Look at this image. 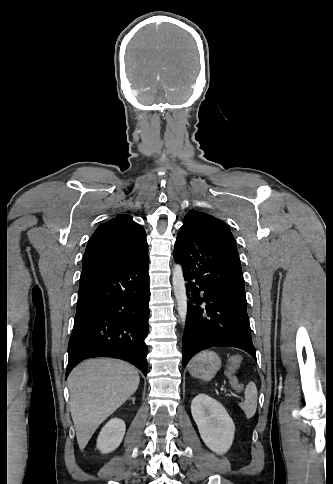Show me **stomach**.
Masks as SVG:
<instances>
[{
    "label": "stomach",
    "mask_w": 333,
    "mask_h": 484,
    "mask_svg": "<svg viewBox=\"0 0 333 484\" xmlns=\"http://www.w3.org/2000/svg\"><path fill=\"white\" fill-rule=\"evenodd\" d=\"M221 368L219 356L212 351H203L194 357L189 366V372L193 377L210 381Z\"/></svg>",
    "instance_id": "obj_1"
}]
</instances>
